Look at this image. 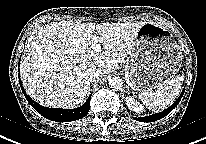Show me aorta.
Listing matches in <instances>:
<instances>
[{
	"label": "aorta",
	"instance_id": "obj_1",
	"mask_svg": "<svg viewBox=\"0 0 206 144\" xmlns=\"http://www.w3.org/2000/svg\"><path fill=\"white\" fill-rule=\"evenodd\" d=\"M109 86L115 91L120 90L123 86V81L120 77H113L109 80Z\"/></svg>",
	"mask_w": 206,
	"mask_h": 144
}]
</instances>
